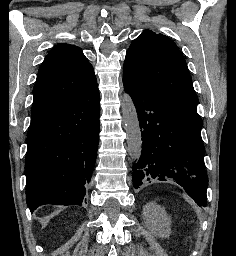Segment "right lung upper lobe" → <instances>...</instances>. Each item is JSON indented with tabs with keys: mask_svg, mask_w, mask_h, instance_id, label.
Segmentation results:
<instances>
[{
	"mask_svg": "<svg viewBox=\"0 0 236 256\" xmlns=\"http://www.w3.org/2000/svg\"><path fill=\"white\" fill-rule=\"evenodd\" d=\"M96 83L94 69L79 47L56 45L45 57L37 75L31 121Z\"/></svg>",
	"mask_w": 236,
	"mask_h": 256,
	"instance_id": "right-lung-upper-lobe-1",
	"label": "right lung upper lobe"
}]
</instances>
